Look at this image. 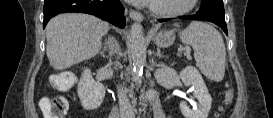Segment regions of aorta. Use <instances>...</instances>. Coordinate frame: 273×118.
I'll return each instance as SVG.
<instances>
[{"mask_svg": "<svg viewBox=\"0 0 273 118\" xmlns=\"http://www.w3.org/2000/svg\"><path fill=\"white\" fill-rule=\"evenodd\" d=\"M147 44L140 23H133L130 30V54L133 62L134 78L140 80L143 67L146 64Z\"/></svg>", "mask_w": 273, "mask_h": 118, "instance_id": "obj_1", "label": "aorta"}]
</instances>
